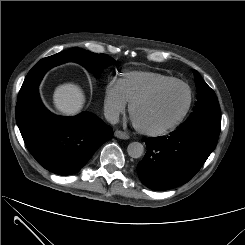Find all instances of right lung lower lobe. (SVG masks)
<instances>
[{
  "label": "right lung lower lobe",
  "instance_id": "1",
  "mask_svg": "<svg viewBox=\"0 0 245 245\" xmlns=\"http://www.w3.org/2000/svg\"><path fill=\"white\" fill-rule=\"evenodd\" d=\"M16 121L23 140L38 163L59 175L79 171L113 130L90 112L61 117L42 104L38 89L17 102Z\"/></svg>",
  "mask_w": 245,
  "mask_h": 245
}]
</instances>
